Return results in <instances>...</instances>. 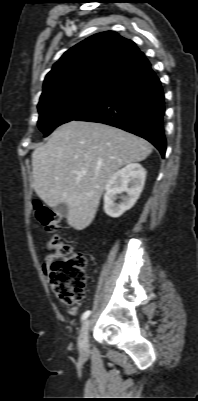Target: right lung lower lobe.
I'll list each match as a JSON object with an SVG mask.
<instances>
[{"mask_svg":"<svg viewBox=\"0 0 198 401\" xmlns=\"http://www.w3.org/2000/svg\"><path fill=\"white\" fill-rule=\"evenodd\" d=\"M164 93L146 59L108 86L103 97L74 120L108 124L151 142L165 156Z\"/></svg>","mask_w":198,"mask_h":401,"instance_id":"right-lung-lower-lobe-1","label":"right lung lower lobe"}]
</instances>
